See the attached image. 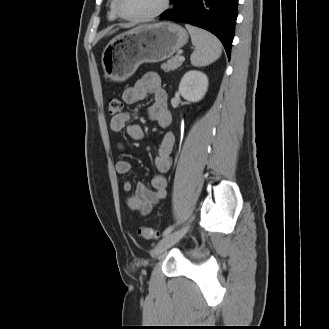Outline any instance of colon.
Returning <instances> with one entry per match:
<instances>
[{"mask_svg":"<svg viewBox=\"0 0 329 329\" xmlns=\"http://www.w3.org/2000/svg\"><path fill=\"white\" fill-rule=\"evenodd\" d=\"M123 107V104L121 102V100L116 97V96H112L108 99V110L109 113L112 115H117L121 112ZM137 234L144 238V239H148V240H155L158 239L159 237V232L156 231L155 229L149 228V227H145V226H141L138 228L137 230Z\"/></svg>","mask_w":329,"mask_h":329,"instance_id":"colon-1","label":"colon"}]
</instances>
